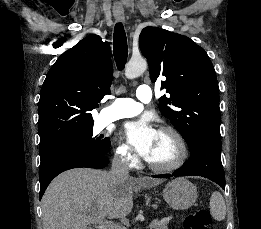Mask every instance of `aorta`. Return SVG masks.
<instances>
[{"label": "aorta", "mask_w": 261, "mask_h": 229, "mask_svg": "<svg viewBox=\"0 0 261 229\" xmlns=\"http://www.w3.org/2000/svg\"><path fill=\"white\" fill-rule=\"evenodd\" d=\"M147 68V60L145 58H130L125 66V76L127 78H137L142 72H145Z\"/></svg>", "instance_id": "obj_1"}]
</instances>
